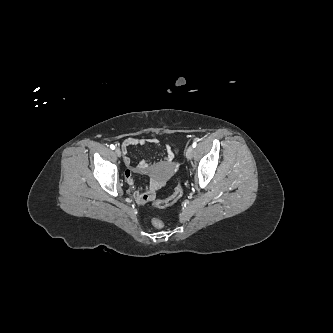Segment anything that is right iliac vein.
Here are the masks:
<instances>
[{"instance_id":"63e3f726","label":"right iliac vein","mask_w":333,"mask_h":333,"mask_svg":"<svg viewBox=\"0 0 333 333\" xmlns=\"http://www.w3.org/2000/svg\"><path fill=\"white\" fill-rule=\"evenodd\" d=\"M115 154L120 157L121 156V150L119 148L115 149Z\"/></svg>"}]
</instances>
